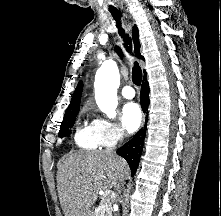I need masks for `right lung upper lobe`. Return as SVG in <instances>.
I'll return each mask as SVG.
<instances>
[{"mask_svg":"<svg viewBox=\"0 0 221 216\" xmlns=\"http://www.w3.org/2000/svg\"><path fill=\"white\" fill-rule=\"evenodd\" d=\"M132 38H133V42H134V50H135V54L136 57L139 59H144L140 52V42H139V32H138V28L136 26H134L133 31H132ZM116 51L118 54H121L120 49L118 47H116ZM144 74L146 76V72L144 71ZM82 82H79V84L77 85L74 94L72 96L70 105L68 106L65 115H69L75 112L79 111V105H80V99H81V93H82Z\"/></svg>","mask_w":221,"mask_h":216,"instance_id":"cb5924a9","label":"right lung upper lobe"}]
</instances>
